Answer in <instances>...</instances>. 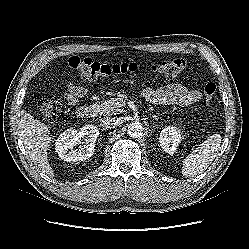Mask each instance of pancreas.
Instances as JSON below:
<instances>
[{
    "instance_id": "1",
    "label": "pancreas",
    "mask_w": 249,
    "mask_h": 249,
    "mask_svg": "<svg viewBox=\"0 0 249 249\" xmlns=\"http://www.w3.org/2000/svg\"><path fill=\"white\" fill-rule=\"evenodd\" d=\"M118 98H111L98 105L99 113L102 115L119 114L122 112Z\"/></svg>"
}]
</instances>
